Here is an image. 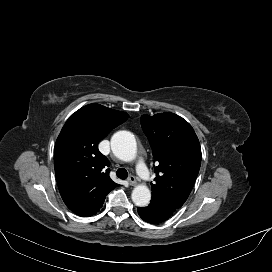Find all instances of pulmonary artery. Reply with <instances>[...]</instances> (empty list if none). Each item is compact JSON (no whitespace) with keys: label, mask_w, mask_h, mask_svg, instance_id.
Wrapping results in <instances>:
<instances>
[{"label":"pulmonary artery","mask_w":272,"mask_h":272,"mask_svg":"<svg viewBox=\"0 0 272 272\" xmlns=\"http://www.w3.org/2000/svg\"><path fill=\"white\" fill-rule=\"evenodd\" d=\"M137 169H138V173H139V176L141 177V179L147 180L149 178L148 170L146 169L145 162L143 159L138 160Z\"/></svg>","instance_id":"pulmonary-artery-1"}]
</instances>
